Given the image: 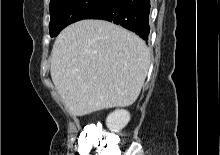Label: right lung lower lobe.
<instances>
[{
    "label": "right lung lower lobe",
    "mask_w": 220,
    "mask_h": 155,
    "mask_svg": "<svg viewBox=\"0 0 220 155\" xmlns=\"http://www.w3.org/2000/svg\"><path fill=\"white\" fill-rule=\"evenodd\" d=\"M150 0H117L86 19H102L127 28L143 39L149 35Z\"/></svg>",
    "instance_id": "98d812e1"
}]
</instances>
